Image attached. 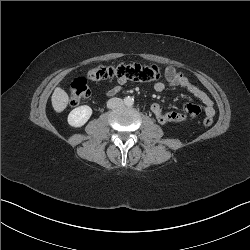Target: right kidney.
<instances>
[{
  "label": "right kidney",
  "instance_id": "1",
  "mask_svg": "<svg viewBox=\"0 0 250 250\" xmlns=\"http://www.w3.org/2000/svg\"><path fill=\"white\" fill-rule=\"evenodd\" d=\"M92 109L87 105H83L73 109L68 115V123L73 127L83 126L91 117Z\"/></svg>",
  "mask_w": 250,
  "mask_h": 250
}]
</instances>
